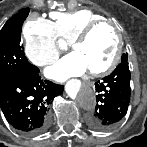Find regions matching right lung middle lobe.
I'll return each mask as SVG.
<instances>
[{"instance_id":"dd1d6c3e","label":"right lung middle lobe","mask_w":147,"mask_h":147,"mask_svg":"<svg viewBox=\"0 0 147 147\" xmlns=\"http://www.w3.org/2000/svg\"><path fill=\"white\" fill-rule=\"evenodd\" d=\"M28 13L29 8L20 10L0 30V81L36 67L28 62L20 45L21 27Z\"/></svg>"}]
</instances>
